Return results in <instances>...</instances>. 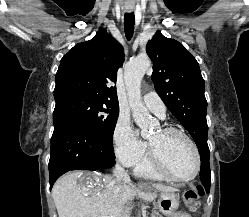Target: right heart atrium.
I'll use <instances>...</instances> for the list:
<instances>
[{
	"label": "right heart atrium",
	"instance_id": "1",
	"mask_svg": "<svg viewBox=\"0 0 249 217\" xmlns=\"http://www.w3.org/2000/svg\"><path fill=\"white\" fill-rule=\"evenodd\" d=\"M113 145L118 159L126 166L136 164L146 151V144L138 140L125 117H119L114 132Z\"/></svg>",
	"mask_w": 249,
	"mask_h": 217
}]
</instances>
